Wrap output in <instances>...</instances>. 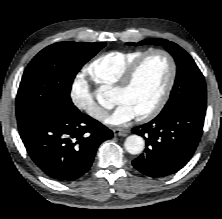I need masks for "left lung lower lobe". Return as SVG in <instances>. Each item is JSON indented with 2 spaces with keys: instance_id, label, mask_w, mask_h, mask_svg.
<instances>
[{
  "instance_id": "left-lung-lower-lobe-1",
  "label": "left lung lower lobe",
  "mask_w": 222,
  "mask_h": 219,
  "mask_svg": "<svg viewBox=\"0 0 222 219\" xmlns=\"http://www.w3.org/2000/svg\"><path fill=\"white\" fill-rule=\"evenodd\" d=\"M206 108L187 103L171 106L132 132L146 140L143 154L133 166L150 177L179 171L192 157L203 132Z\"/></svg>"
}]
</instances>
